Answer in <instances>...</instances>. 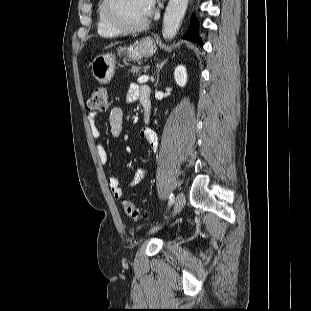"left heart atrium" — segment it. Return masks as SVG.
Listing matches in <instances>:
<instances>
[{"instance_id":"1","label":"left heart atrium","mask_w":311,"mask_h":311,"mask_svg":"<svg viewBox=\"0 0 311 311\" xmlns=\"http://www.w3.org/2000/svg\"><path fill=\"white\" fill-rule=\"evenodd\" d=\"M144 3H145V7H146L147 12L150 15L154 10L155 0H144Z\"/></svg>"}]
</instances>
